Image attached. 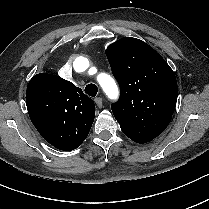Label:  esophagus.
I'll list each match as a JSON object with an SVG mask.
<instances>
[{
  "instance_id": "1",
  "label": "esophagus",
  "mask_w": 209,
  "mask_h": 209,
  "mask_svg": "<svg viewBox=\"0 0 209 209\" xmlns=\"http://www.w3.org/2000/svg\"><path fill=\"white\" fill-rule=\"evenodd\" d=\"M94 102L97 105V107L102 108V106H103V99L101 97H96L94 99Z\"/></svg>"
}]
</instances>
